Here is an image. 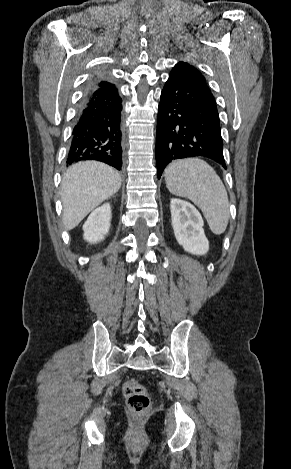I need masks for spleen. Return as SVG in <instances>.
<instances>
[{
    "label": "spleen",
    "instance_id": "obj_1",
    "mask_svg": "<svg viewBox=\"0 0 291 469\" xmlns=\"http://www.w3.org/2000/svg\"><path fill=\"white\" fill-rule=\"evenodd\" d=\"M164 177L172 194L190 199L201 209L214 234L225 232L230 218L228 194L207 162L199 158L174 161L166 167Z\"/></svg>",
    "mask_w": 291,
    "mask_h": 469
}]
</instances>
